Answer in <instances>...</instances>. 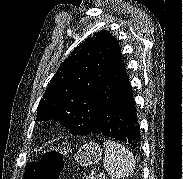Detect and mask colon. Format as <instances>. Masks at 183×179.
Listing matches in <instances>:
<instances>
[{
    "mask_svg": "<svg viewBox=\"0 0 183 179\" xmlns=\"http://www.w3.org/2000/svg\"><path fill=\"white\" fill-rule=\"evenodd\" d=\"M65 150L50 148L42 157L31 162L25 171V179H59L65 166Z\"/></svg>",
    "mask_w": 183,
    "mask_h": 179,
    "instance_id": "5ec220e1",
    "label": "colon"
}]
</instances>
